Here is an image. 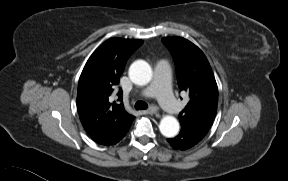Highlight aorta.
Returning a JSON list of instances; mask_svg holds the SVG:
<instances>
[{
    "mask_svg": "<svg viewBox=\"0 0 288 181\" xmlns=\"http://www.w3.org/2000/svg\"><path fill=\"white\" fill-rule=\"evenodd\" d=\"M129 77L134 84L146 85L152 79V69L144 60L133 62L129 68ZM160 132L163 136L172 138L179 132V122L173 116H164L159 124Z\"/></svg>",
    "mask_w": 288,
    "mask_h": 181,
    "instance_id": "1",
    "label": "aorta"
}]
</instances>
